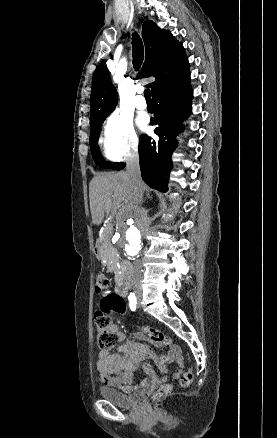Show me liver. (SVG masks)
Listing matches in <instances>:
<instances>
[{"mask_svg": "<svg viewBox=\"0 0 277 438\" xmlns=\"http://www.w3.org/2000/svg\"><path fill=\"white\" fill-rule=\"evenodd\" d=\"M90 210L93 224H102L105 218V212H109L111 206H115L119 210L121 202L125 205H134L135 209L140 212V204L144 192H148L147 186L143 184L141 190H132L127 172H118L111 176H95L90 182ZM147 198H151L150 194H146ZM122 206L118 212L119 218L122 220ZM126 220V219H124Z\"/></svg>", "mask_w": 277, "mask_h": 438, "instance_id": "liver-1", "label": "liver"}]
</instances>
